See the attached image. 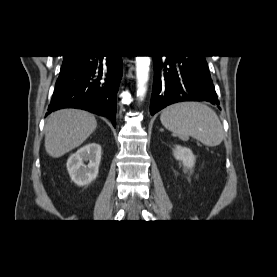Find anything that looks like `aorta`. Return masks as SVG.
Instances as JSON below:
<instances>
[{
	"instance_id": "obj_1",
	"label": "aorta",
	"mask_w": 277,
	"mask_h": 277,
	"mask_svg": "<svg viewBox=\"0 0 277 277\" xmlns=\"http://www.w3.org/2000/svg\"><path fill=\"white\" fill-rule=\"evenodd\" d=\"M150 56H136L137 97L142 99L147 91Z\"/></svg>"
}]
</instances>
